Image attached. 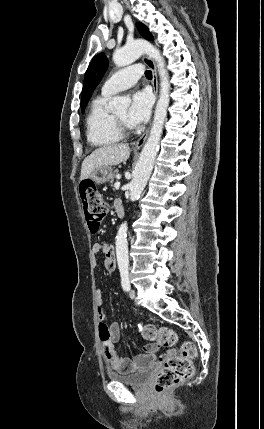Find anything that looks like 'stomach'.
Here are the masks:
<instances>
[{"label": "stomach", "mask_w": 264, "mask_h": 429, "mask_svg": "<svg viewBox=\"0 0 264 429\" xmlns=\"http://www.w3.org/2000/svg\"><path fill=\"white\" fill-rule=\"evenodd\" d=\"M113 175V169L111 166H103L96 169L90 176V179L97 183L103 184L107 182Z\"/></svg>", "instance_id": "1"}]
</instances>
